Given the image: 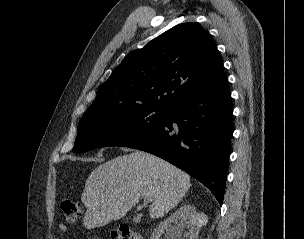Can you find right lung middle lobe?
I'll use <instances>...</instances> for the list:
<instances>
[{"mask_svg": "<svg viewBox=\"0 0 304 239\" xmlns=\"http://www.w3.org/2000/svg\"><path fill=\"white\" fill-rule=\"evenodd\" d=\"M166 108L134 106L115 108L79 121L73 152L105 146H127L149 134L163 122Z\"/></svg>", "mask_w": 304, "mask_h": 239, "instance_id": "obj_1", "label": "right lung middle lobe"}]
</instances>
